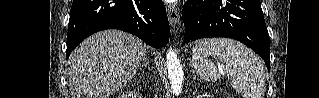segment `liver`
Segmentation results:
<instances>
[{
	"label": "liver",
	"instance_id": "liver-1",
	"mask_svg": "<svg viewBox=\"0 0 319 98\" xmlns=\"http://www.w3.org/2000/svg\"><path fill=\"white\" fill-rule=\"evenodd\" d=\"M146 50L142 40L120 30L90 36L69 58L72 98H110L133 78Z\"/></svg>",
	"mask_w": 319,
	"mask_h": 98
}]
</instances>
